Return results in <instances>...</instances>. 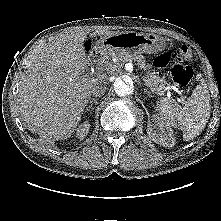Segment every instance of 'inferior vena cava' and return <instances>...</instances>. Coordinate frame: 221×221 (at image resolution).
I'll list each match as a JSON object with an SVG mask.
<instances>
[{
  "label": "inferior vena cava",
  "mask_w": 221,
  "mask_h": 221,
  "mask_svg": "<svg viewBox=\"0 0 221 221\" xmlns=\"http://www.w3.org/2000/svg\"><path fill=\"white\" fill-rule=\"evenodd\" d=\"M108 80V79H107ZM107 80H101L100 82H98L93 88L91 93L95 96V97H100L101 95L104 94V92L106 91V86H107Z\"/></svg>",
  "instance_id": "obj_1"
}]
</instances>
